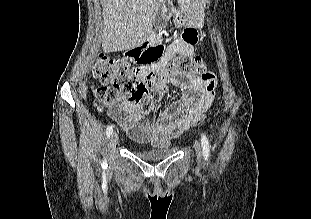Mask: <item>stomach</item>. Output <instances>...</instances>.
Segmentation results:
<instances>
[{
    "instance_id": "0dacf381",
    "label": "stomach",
    "mask_w": 311,
    "mask_h": 219,
    "mask_svg": "<svg viewBox=\"0 0 311 219\" xmlns=\"http://www.w3.org/2000/svg\"><path fill=\"white\" fill-rule=\"evenodd\" d=\"M173 21L177 26H185L193 20L190 18L189 15H187L180 9V11L174 14Z\"/></svg>"
}]
</instances>
